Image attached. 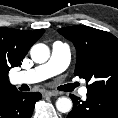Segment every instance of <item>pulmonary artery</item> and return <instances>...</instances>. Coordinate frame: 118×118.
Segmentation results:
<instances>
[{
  "mask_svg": "<svg viewBox=\"0 0 118 118\" xmlns=\"http://www.w3.org/2000/svg\"><path fill=\"white\" fill-rule=\"evenodd\" d=\"M71 51L68 44L57 41L51 48V56L49 60L33 69L20 71L11 75V82L14 85L32 84L43 81L54 75L63 72L69 65ZM87 88L82 87L79 94L82 97L87 95Z\"/></svg>",
  "mask_w": 118,
  "mask_h": 118,
  "instance_id": "obj_1",
  "label": "pulmonary artery"
}]
</instances>
